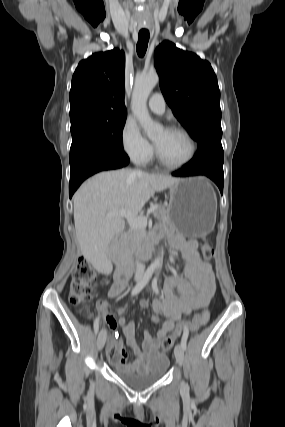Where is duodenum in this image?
Masks as SVG:
<instances>
[{
	"mask_svg": "<svg viewBox=\"0 0 285 427\" xmlns=\"http://www.w3.org/2000/svg\"><path fill=\"white\" fill-rule=\"evenodd\" d=\"M159 240V234L155 232L147 234L144 241L137 249L136 257H126L122 251L119 250L116 255L117 268L114 273L115 278L126 281L133 271L135 260L150 258Z\"/></svg>",
	"mask_w": 285,
	"mask_h": 427,
	"instance_id": "obj_1",
	"label": "duodenum"
}]
</instances>
